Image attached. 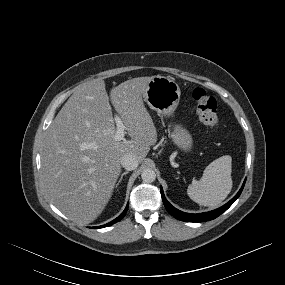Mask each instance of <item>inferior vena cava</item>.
<instances>
[{
    "label": "inferior vena cava",
    "instance_id": "1",
    "mask_svg": "<svg viewBox=\"0 0 285 285\" xmlns=\"http://www.w3.org/2000/svg\"><path fill=\"white\" fill-rule=\"evenodd\" d=\"M120 163L126 170H135L139 164L137 158L132 154H125L122 156Z\"/></svg>",
    "mask_w": 285,
    "mask_h": 285
}]
</instances>
